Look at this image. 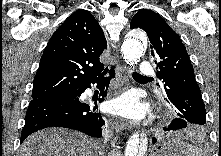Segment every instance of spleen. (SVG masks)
Here are the masks:
<instances>
[{
    "instance_id": "spleen-1",
    "label": "spleen",
    "mask_w": 221,
    "mask_h": 156,
    "mask_svg": "<svg viewBox=\"0 0 221 156\" xmlns=\"http://www.w3.org/2000/svg\"><path fill=\"white\" fill-rule=\"evenodd\" d=\"M170 143L175 145L185 156H202L204 154L202 150L183 141L172 140Z\"/></svg>"
}]
</instances>
